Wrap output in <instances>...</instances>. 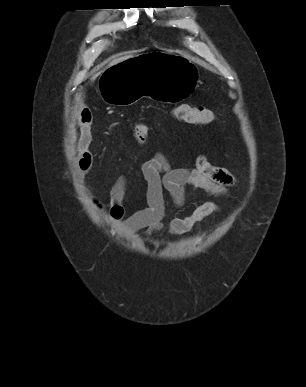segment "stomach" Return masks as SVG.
Returning <instances> with one entry per match:
<instances>
[{
  "label": "stomach",
  "mask_w": 306,
  "mask_h": 387,
  "mask_svg": "<svg viewBox=\"0 0 306 387\" xmlns=\"http://www.w3.org/2000/svg\"><path fill=\"white\" fill-rule=\"evenodd\" d=\"M142 55L101 70V96L110 105L126 106L145 99L182 104L198 82V69L189 58L146 46Z\"/></svg>",
  "instance_id": "obj_1"
}]
</instances>
